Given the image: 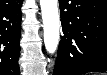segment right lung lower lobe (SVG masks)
<instances>
[{
  "mask_svg": "<svg viewBox=\"0 0 107 75\" xmlns=\"http://www.w3.org/2000/svg\"><path fill=\"white\" fill-rule=\"evenodd\" d=\"M22 0L0 1V75H20Z\"/></svg>",
  "mask_w": 107,
  "mask_h": 75,
  "instance_id": "obj_1",
  "label": "right lung lower lobe"
}]
</instances>
